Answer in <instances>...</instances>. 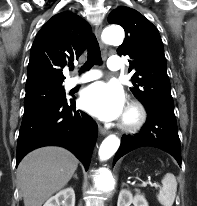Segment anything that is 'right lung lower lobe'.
<instances>
[{
    "label": "right lung lower lobe",
    "instance_id": "obj_1",
    "mask_svg": "<svg viewBox=\"0 0 197 206\" xmlns=\"http://www.w3.org/2000/svg\"><path fill=\"white\" fill-rule=\"evenodd\" d=\"M97 133V124L89 115L76 110L73 99L26 113L19 131L16 166L28 152L56 145L73 152L87 170Z\"/></svg>",
    "mask_w": 197,
    "mask_h": 206
}]
</instances>
